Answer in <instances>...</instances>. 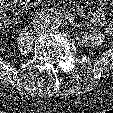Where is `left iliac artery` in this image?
Returning a JSON list of instances; mask_svg holds the SVG:
<instances>
[{
    "mask_svg": "<svg viewBox=\"0 0 113 113\" xmlns=\"http://www.w3.org/2000/svg\"><path fill=\"white\" fill-rule=\"evenodd\" d=\"M66 19H68L70 22H73L71 18H68V16H67V18H66Z\"/></svg>",
    "mask_w": 113,
    "mask_h": 113,
    "instance_id": "left-iliac-artery-1",
    "label": "left iliac artery"
}]
</instances>
